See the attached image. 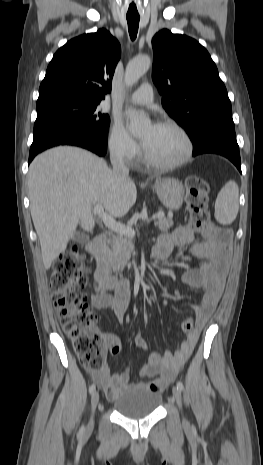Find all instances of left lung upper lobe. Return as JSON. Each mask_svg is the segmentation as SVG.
<instances>
[{
	"label": "left lung upper lobe",
	"instance_id": "5c2ea615",
	"mask_svg": "<svg viewBox=\"0 0 263 465\" xmlns=\"http://www.w3.org/2000/svg\"><path fill=\"white\" fill-rule=\"evenodd\" d=\"M152 46V79L162 106L193 144L215 127L234 126L227 90L199 42L163 29L153 37Z\"/></svg>",
	"mask_w": 263,
	"mask_h": 465
}]
</instances>
